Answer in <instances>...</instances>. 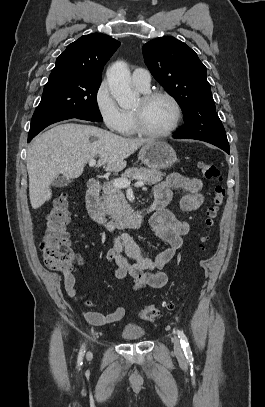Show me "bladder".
Here are the masks:
<instances>
[{
  "mask_svg": "<svg viewBox=\"0 0 265 407\" xmlns=\"http://www.w3.org/2000/svg\"><path fill=\"white\" fill-rule=\"evenodd\" d=\"M121 336L127 341H136L145 336V330L139 325L127 324L123 327Z\"/></svg>",
  "mask_w": 265,
  "mask_h": 407,
  "instance_id": "1",
  "label": "bladder"
}]
</instances>
